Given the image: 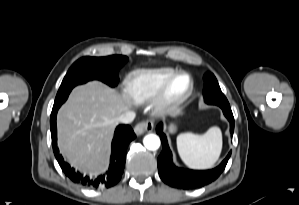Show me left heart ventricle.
Instances as JSON below:
<instances>
[{
    "label": "left heart ventricle",
    "instance_id": "b2bd125f",
    "mask_svg": "<svg viewBox=\"0 0 299 205\" xmlns=\"http://www.w3.org/2000/svg\"><path fill=\"white\" fill-rule=\"evenodd\" d=\"M187 86V81L185 79L180 80L175 86V92L183 91Z\"/></svg>",
    "mask_w": 299,
    "mask_h": 205
}]
</instances>
